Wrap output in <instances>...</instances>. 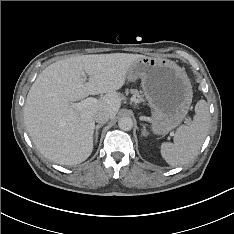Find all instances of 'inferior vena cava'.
I'll list each match as a JSON object with an SVG mask.
<instances>
[{
	"label": "inferior vena cava",
	"instance_id": "602c4592",
	"mask_svg": "<svg viewBox=\"0 0 234 234\" xmlns=\"http://www.w3.org/2000/svg\"><path fill=\"white\" fill-rule=\"evenodd\" d=\"M110 118V113L105 110L97 111L94 115V120L99 124L106 123Z\"/></svg>",
	"mask_w": 234,
	"mask_h": 234
}]
</instances>
